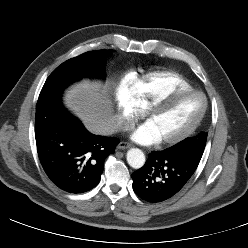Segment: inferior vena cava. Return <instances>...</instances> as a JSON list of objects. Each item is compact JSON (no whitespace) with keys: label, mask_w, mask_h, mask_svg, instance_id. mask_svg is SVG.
I'll return each instance as SVG.
<instances>
[{"label":"inferior vena cava","mask_w":248,"mask_h":248,"mask_svg":"<svg viewBox=\"0 0 248 248\" xmlns=\"http://www.w3.org/2000/svg\"><path fill=\"white\" fill-rule=\"evenodd\" d=\"M131 128H132L131 125L125 119L121 117H114V125L111 131L109 132V134H112L115 131H121V130L128 131V130H131Z\"/></svg>","instance_id":"1"}]
</instances>
